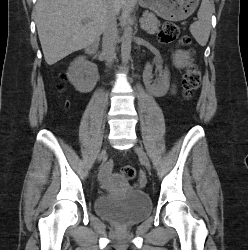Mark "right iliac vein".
I'll return each instance as SVG.
<instances>
[{
	"instance_id": "63e3f726",
	"label": "right iliac vein",
	"mask_w": 248,
	"mask_h": 250,
	"mask_svg": "<svg viewBox=\"0 0 248 250\" xmlns=\"http://www.w3.org/2000/svg\"><path fill=\"white\" fill-rule=\"evenodd\" d=\"M105 153H106V149H103L101 156L105 155Z\"/></svg>"
}]
</instances>
